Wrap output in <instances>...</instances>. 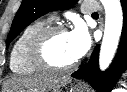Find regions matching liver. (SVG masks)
Segmentation results:
<instances>
[{"mask_svg":"<svg viewBox=\"0 0 127 92\" xmlns=\"http://www.w3.org/2000/svg\"><path fill=\"white\" fill-rule=\"evenodd\" d=\"M71 82V78L54 75H35L30 77L15 76L3 84L2 92H57Z\"/></svg>","mask_w":127,"mask_h":92,"instance_id":"obj_1","label":"liver"}]
</instances>
